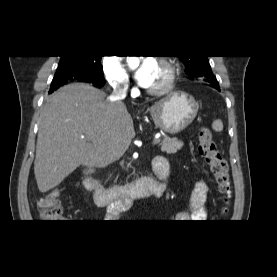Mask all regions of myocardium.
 <instances>
[{"label": "myocardium", "instance_id": "f54148a6", "mask_svg": "<svg viewBox=\"0 0 277 277\" xmlns=\"http://www.w3.org/2000/svg\"><path fill=\"white\" fill-rule=\"evenodd\" d=\"M158 63H160L166 70V78L164 82L154 88H148L147 92L151 95H162L170 91L176 80V69L175 66L166 58H160Z\"/></svg>", "mask_w": 277, "mask_h": 277}]
</instances>
